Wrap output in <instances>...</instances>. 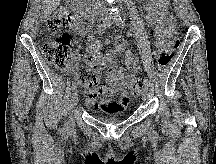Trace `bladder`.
Instances as JSON below:
<instances>
[{"label":"bladder","instance_id":"31cf9c89","mask_svg":"<svg viewBox=\"0 0 216 164\" xmlns=\"http://www.w3.org/2000/svg\"><path fill=\"white\" fill-rule=\"evenodd\" d=\"M101 121L106 122V123H115V122H119L120 118H116V117H102L100 118Z\"/></svg>","mask_w":216,"mask_h":164}]
</instances>
